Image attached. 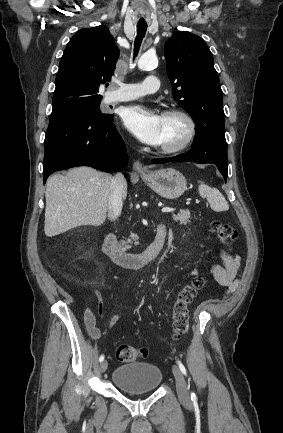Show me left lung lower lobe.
Returning a JSON list of instances; mask_svg holds the SVG:
<instances>
[{
	"label": "left lung lower lobe",
	"instance_id": "1",
	"mask_svg": "<svg viewBox=\"0 0 283 433\" xmlns=\"http://www.w3.org/2000/svg\"><path fill=\"white\" fill-rule=\"evenodd\" d=\"M192 150L170 158L153 159L152 163L162 164L167 162H195L216 164L225 181L228 174L227 142L225 129L216 126H204L196 129Z\"/></svg>",
	"mask_w": 283,
	"mask_h": 433
}]
</instances>
